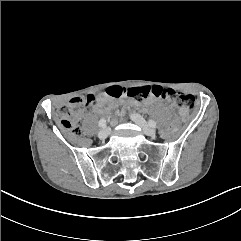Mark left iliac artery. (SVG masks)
Masks as SVG:
<instances>
[{
    "label": "left iliac artery",
    "instance_id": "1",
    "mask_svg": "<svg viewBox=\"0 0 241 241\" xmlns=\"http://www.w3.org/2000/svg\"><path fill=\"white\" fill-rule=\"evenodd\" d=\"M148 123H149V126H150V127L156 128V122H155V121L149 120Z\"/></svg>",
    "mask_w": 241,
    "mask_h": 241
}]
</instances>
